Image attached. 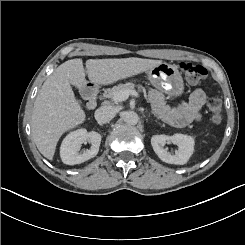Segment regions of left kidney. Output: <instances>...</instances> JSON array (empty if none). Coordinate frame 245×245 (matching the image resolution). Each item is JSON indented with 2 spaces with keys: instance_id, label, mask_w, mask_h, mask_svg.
<instances>
[{
  "instance_id": "1",
  "label": "left kidney",
  "mask_w": 245,
  "mask_h": 245,
  "mask_svg": "<svg viewBox=\"0 0 245 245\" xmlns=\"http://www.w3.org/2000/svg\"><path fill=\"white\" fill-rule=\"evenodd\" d=\"M170 139L178 147L175 153L168 151L167 144L169 137L165 135H154L151 138V145L159 158L169 164H186L194 152L195 139L192 136L182 133H174Z\"/></svg>"
}]
</instances>
